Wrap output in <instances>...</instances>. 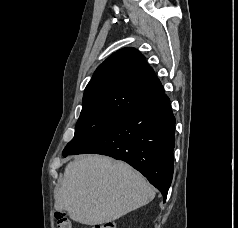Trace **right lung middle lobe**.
Returning <instances> with one entry per match:
<instances>
[{
	"instance_id": "1",
	"label": "right lung middle lobe",
	"mask_w": 238,
	"mask_h": 228,
	"mask_svg": "<svg viewBox=\"0 0 238 228\" xmlns=\"http://www.w3.org/2000/svg\"><path fill=\"white\" fill-rule=\"evenodd\" d=\"M121 115L120 113L81 112L74 137L63 150V156L78 149Z\"/></svg>"
}]
</instances>
